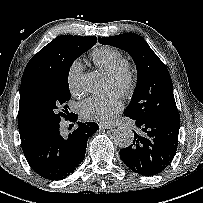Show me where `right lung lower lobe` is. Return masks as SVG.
Returning <instances> with one entry per match:
<instances>
[{
    "mask_svg": "<svg viewBox=\"0 0 203 203\" xmlns=\"http://www.w3.org/2000/svg\"><path fill=\"white\" fill-rule=\"evenodd\" d=\"M78 116L71 114L67 120L76 122ZM78 128L68 136L62 135L60 125L46 133L22 140L21 146L30 167L41 177L62 180L73 173L83 161L87 140L98 129L94 122H78Z\"/></svg>",
    "mask_w": 203,
    "mask_h": 203,
    "instance_id": "right-lung-lower-lobe-1",
    "label": "right lung lower lobe"
}]
</instances>
